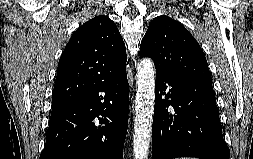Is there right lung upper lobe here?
Wrapping results in <instances>:
<instances>
[{"mask_svg": "<svg viewBox=\"0 0 253 159\" xmlns=\"http://www.w3.org/2000/svg\"><path fill=\"white\" fill-rule=\"evenodd\" d=\"M126 70V49L115 23L99 15L80 26L59 60L53 104H66Z\"/></svg>", "mask_w": 253, "mask_h": 159, "instance_id": "right-lung-upper-lobe-1", "label": "right lung upper lobe"}]
</instances>
